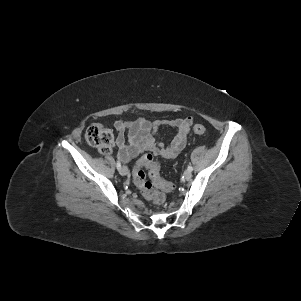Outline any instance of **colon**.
<instances>
[{
  "mask_svg": "<svg viewBox=\"0 0 301 301\" xmlns=\"http://www.w3.org/2000/svg\"><path fill=\"white\" fill-rule=\"evenodd\" d=\"M193 132L201 135L206 132V128L202 124H196L193 126ZM85 139L102 153H108L113 143V134L110 129L99 124H93L86 129ZM144 169L148 170V179ZM132 177L143 196L157 205L162 204L165 199L159 190L170 191L174 188L172 184L161 177L160 163L151 154H146L137 161Z\"/></svg>",
  "mask_w": 301,
  "mask_h": 301,
  "instance_id": "colon-1",
  "label": "colon"
}]
</instances>
